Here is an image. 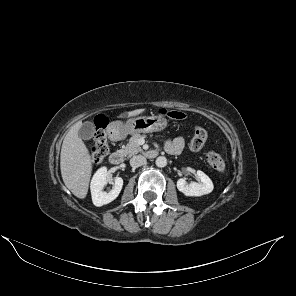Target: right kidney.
I'll return each instance as SVG.
<instances>
[{
	"instance_id": "ca27d5eb",
	"label": "right kidney",
	"mask_w": 296,
	"mask_h": 296,
	"mask_svg": "<svg viewBox=\"0 0 296 296\" xmlns=\"http://www.w3.org/2000/svg\"><path fill=\"white\" fill-rule=\"evenodd\" d=\"M107 184V168L102 167L96 171L91 180V195L93 204L97 207L106 205L115 200L121 192L123 179L121 177L114 178V187L110 192L103 191Z\"/></svg>"
}]
</instances>
